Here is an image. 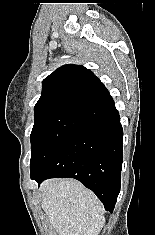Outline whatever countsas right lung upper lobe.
I'll return each mask as SVG.
<instances>
[{"label":"right lung upper lobe","mask_w":155,"mask_h":235,"mask_svg":"<svg viewBox=\"0 0 155 235\" xmlns=\"http://www.w3.org/2000/svg\"><path fill=\"white\" fill-rule=\"evenodd\" d=\"M101 81L87 68L64 65L43 80V91L34 107L35 113L58 111L71 114L89 123L97 121L87 92Z\"/></svg>","instance_id":"cb5924a9"}]
</instances>
